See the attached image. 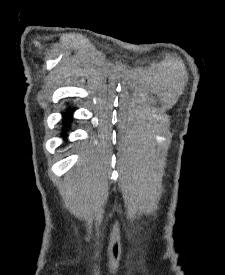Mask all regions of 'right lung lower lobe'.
I'll return each instance as SVG.
<instances>
[{
	"label": "right lung lower lobe",
	"mask_w": 225,
	"mask_h": 275,
	"mask_svg": "<svg viewBox=\"0 0 225 275\" xmlns=\"http://www.w3.org/2000/svg\"><path fill=\"white\" fill-rule=\"evenodd\" d=\"M73 110H69V113L71 115ZM70 121H71V118L70 117H66L63 119V128H62V131H67L68 128L70 127Z\"/></svg>",
	"instance_id": "98d812e1"
}]
</instances>
